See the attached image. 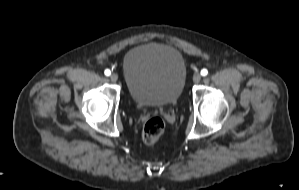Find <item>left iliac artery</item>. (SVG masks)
I'll list each match as a JSON object with an SVG mask.
<instances>
[{"instance_id": "obj_1", "label": "left iliac artery", "mask_w": 299, "mask_h": 190, "mask_svg": "<svg viewBox=\"0 0 299 190\" xmlns=\"http://www.w3.org/2000/svg\"><path fill=\"white\" fill-rule=\"evenodd\" d=\"M208 74V70L207 69H202L201 70V75L202 76H206Z\"/></svg>"}]
</instances>
